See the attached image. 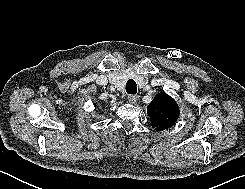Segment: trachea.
<instances>
[{"label":"trachea","mask_w":245,"mask_h":189,"mask_svg":"<svg viewBox=\"0 0 245 189\" xmlns=\"http://www.w3.org/2000/svg\"><path fill=\"white\" fill-rule=\"evenodd\" d=\"M126 92L130 95L137 93L136 82L133 79H129L126 83Z\"/></svg>","instance_id":"3493384b"}]
</instances>
